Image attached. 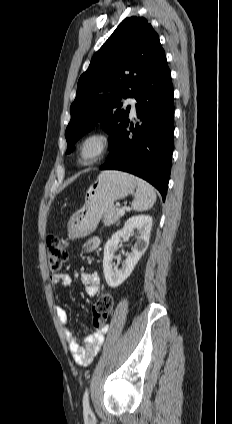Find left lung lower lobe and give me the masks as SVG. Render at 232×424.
I'll use <instances>...</instances> for the list:
<instances>
[{"label": "left lung lower lobe", "mask_w": 232, "mask_h": 424, "mask_svg": "<svg viewBox=\"0 0 232 424\" xmlns=\"http://www.w3.org/2000/svg\"><path fill=\"white\" fill-rule=\"evenodd\" d=\"M139 123L126 119L110 145L101 170H121L139 176L156 187L165 200L171 171L174 103L171 74L166 57L135 92ZM130 110V107H129Z\"/></svg>", "instance_id": "left-lung-lower-lobe-1"}]
</instances>
